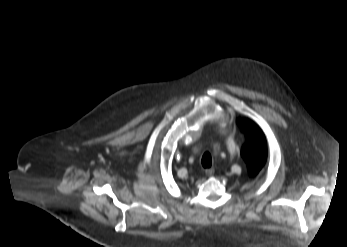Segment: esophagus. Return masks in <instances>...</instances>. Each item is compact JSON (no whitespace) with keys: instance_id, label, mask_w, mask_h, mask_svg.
I'll return each instance as SVG.
<instances>
[{"instance_id":"1","label":"esophagus","mask_w":347,"mask_h":247,"mask_svg":"<svg viewBox=\"0 0 347 247\" xmlns=\"http://www.w3.org/2000/svg\"><path fill=\"white\" fill-rule=\"evenodd\" d=\"M207 176H212L215 173L214 168H208L205 170Z\"/></svg>"}]
</instances>
